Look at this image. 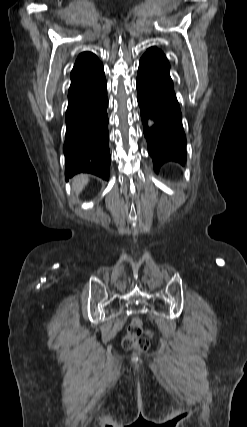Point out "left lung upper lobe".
Masks as SVG:
<instances>
[{"label":"left lung upper lobe","mask_w":247,"mask_h":427,"mask_svg":"<svg viewBox=\"0 0 247 427\" xmlns=\"http://www.w3.org/2000/svg\"><path fill=\"white\" fill-rule=\"evenodd\" d=\"M143 56L156 61L159 65L169 71L170 65L167 58L163 52L158 50L156 47L149 48Z\"/></svg>","instance_id":"obj_1"}]
</instances>
